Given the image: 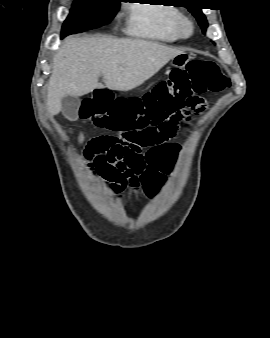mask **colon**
<instances>
[{
	"label": "colon",
	"instance_id": "5ec220e1",
	"mask_svg": "<svg viewBox=\"0 0 270 338\" xmlns=\"http://www.w3.org/2000/svg\"><path fill=\"white\" fill-rule=\"evenodd\" d=\"M229 86L227 76L213 61L191 60L186 69L172 71L169 79L159 82L142 98L114 99L108 91L95 92L82 101L78 119L116 132L119 137L136 145L127 158L112 169L107 180L116 193L127 185L137 186L138 178L147 172L146 161L139 148L150 147L153 161L174 147L160 144L173 138L177 126L204 109L201 98Z\"/></svg>",
	"mask_w": 270,
	"mask_h": 338
}]
</instances>
